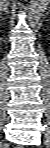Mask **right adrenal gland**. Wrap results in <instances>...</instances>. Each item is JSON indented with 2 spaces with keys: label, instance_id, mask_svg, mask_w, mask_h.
<instances>
[{
  "label": "right adrenal gland",
  "instance_id": "obj_1",
  "mask_svg": "<svg viewBox=\"0 0 50 148\" xmlns=\"http://www.w3.org/2000/svg\"><path fill=\"white\" fill-rule=\"evenodd\" d=\"M2 12H5L6 14H8V8L7 6H4L3 9L1 10V14Z\"/></svg>",
  "mask_w": 50,
  "mask_h": 148
}]
</instances>
